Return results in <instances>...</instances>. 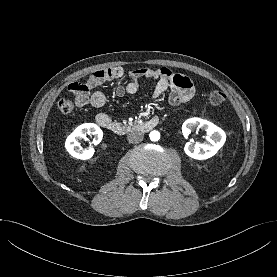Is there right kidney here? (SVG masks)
Here are the masks:
<instances>
[{
  "label": "right kidney",
  "mask_w": 277,
  "mask_h": 277,
  "mask_svg": "<svg viewBox=\"0 0 277 277\" xmlns=\"http://www.w3.org/2000/svg\"><path fill=\"white\" fill-rule=\"evenodd\" d=\"M86 134L93 135V143L99 144L103 137L102 130L94 123H84L78 126L66 139L65 147L69 154L77 159L88 160L94 154V148L80 147L79 139L85 138Z\"/></svg>",
  "instance_id": "1"
}]
</instances>
